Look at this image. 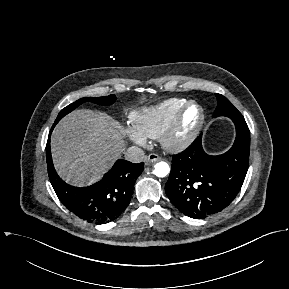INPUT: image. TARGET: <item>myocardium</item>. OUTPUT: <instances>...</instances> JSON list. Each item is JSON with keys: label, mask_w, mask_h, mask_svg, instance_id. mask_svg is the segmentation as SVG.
<instances>
[{"label": "myocardium", "mask_w": 289, "mask_h": 289, "mask_svg": "<svg viewBox=\"0 0 289 289\" xmlns=\"http://www.w3.org/2000/svg\"><path fill=\"white\" fill-rule=\"evenodd\" d=\"M198 109V118L191 128L185 131V117L190 107ZM205 122V111L196 101H187L179 110L172 124L161 136L162 146L170 152H181L188 148L200 134Z\"/></svg>", "instance_id": "f54148a6"}]
</instances>
